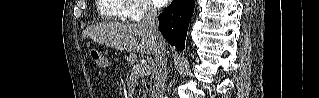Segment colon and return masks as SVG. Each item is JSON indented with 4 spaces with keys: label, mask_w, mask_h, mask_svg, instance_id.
<instances>
[{
    "label": "colon",
    "mask_w": 319,
    "mask_h": 98,
    "mask_svg": "<svg viewBox=\"0 0 319 98\" xmlns=\"http://www.w3.org/2000/svg\"><path fill=\"white\" fill-rule=\"evenodd\" d=\"M89 56L92 61V63L98 67H106L107 66V60L106 58L102 55V53L96 49V48H91L89 50Z\"/></svg>",
    "instance_id": "1"
}]
</instances>
